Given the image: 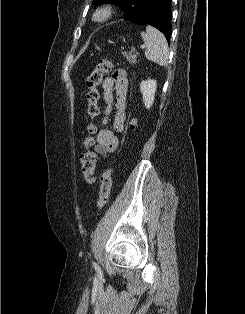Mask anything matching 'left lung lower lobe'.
I'll list each match as a JSON object with an SVG mask.
<instances>
[{"mask_svg":"<svg viewBox=\"0 0 245 314\" xmlns=\"http://www.w3.org/2000/svg\"><path fill=\"white\" fill-rule=\"evenodd\" d=\"M171 0H144L135 15L129 21L146 23L160 30L170 40L172 33Z\"/></svg>","mask_w":245,"mask_h":314,"instance_id":"0a47b994","label":"left lung lower lobe"}]
</instances>
